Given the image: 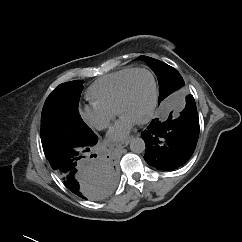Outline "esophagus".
Returning <instances> with one entry per match:
<instances>
[{"label": "esophagus", "mask_w": 242, "mask_h": 242, "mask_svg": "<svg viewBox=\"0 0 242 242\" xmlns=\"http://www.w3.org/2000/svg\"><path fill=\"white\" fill-rule=\"evenodd\" d=\"M129 143H130V138L125 140V141H123V142H121V143H119L118 147H120V148L127 147Z\"/></svg>", "instance_id": "34e87169"}]
</instances>
